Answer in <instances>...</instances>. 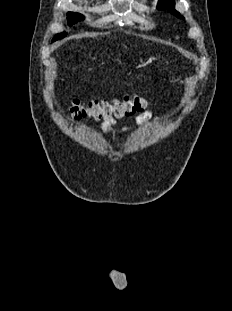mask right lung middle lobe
<instances>
[{
  "mask_svg": "<svg viewBox=\"0 0 232 311\" xmlns=\"http://www.w3.org/2000/svg\"><path fill=\"white\" fill-rule=\"evenodd\" d=\"M67 19H68V24L69 26H72L75 24L77 21L84 20V17L79 14V13H74V12H68L67 13ZM66 35L65 32L57 34L52 41L58 40Z\"/></svg>",
  "mask_w": 232,
  "mask_h": 311,
  "instance_id": "1",
  "label": "right lung middle lobe"
}]
</instances>
